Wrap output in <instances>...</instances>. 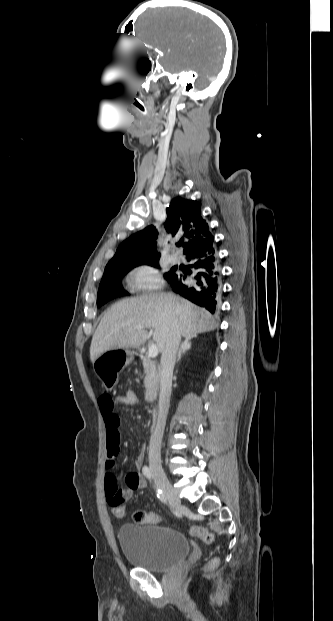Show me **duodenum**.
I'll use <instances>...</instances> for the list:
<instances>
[{
    "label": "duodenum",
    "instance_id": "410a0bca",
    "mask_svg": "<svg viewBox=\"0 0 333 621\" xmlns=\"http://www.w3.org/2000/svg\"><path fill=\"white\" fill-rule=\"evenodd\" d=\"M156 420H157V416H156V414H153V417H152V424H151V431H153V430L155 429V426H156Z\"/></svg>",
    "mask_w": 333,
    "mask_h": 621
}]
</instances>
